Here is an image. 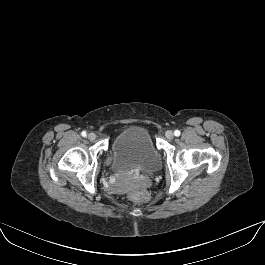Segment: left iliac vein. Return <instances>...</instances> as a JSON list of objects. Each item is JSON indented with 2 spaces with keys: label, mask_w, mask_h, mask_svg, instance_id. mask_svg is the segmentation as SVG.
I'll return each instance as SVG.
<instances>
[{
  "label": "left iliac vein",
  "mask_w": 265,
  "mask_h": 265,
  "mask_svg": "<svg viewBox=\"0 0 265 265\" xmlns=\"http://www.w3.org/2000/svg\"><path fill=\"white\" fill-rule=\"evenodd\" d=\"M165 137H166L167 139H173V137H174V133H173L171 130H167V131L165 132Z\"/></svg>",
  "instance_id": "left-iliac-vein-1"
}]
</instances>
